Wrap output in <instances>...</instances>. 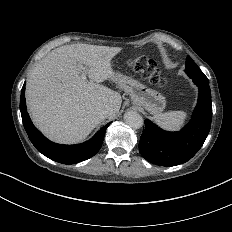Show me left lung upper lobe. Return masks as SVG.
<instances>
[{
	"label": "left lung upper lobe",
	"instance_id": "1",
	"mask_svg": "<svg viewBox=\"0 0 232 232\" xmlns=\"http://www.w3.org/2000/svg\"><path fill=\"white\" fill-rule=\"evenodd\" d=\"M185 71L187 75L192 78L193 82L196 85H205L209 86L208 78L205 74L200 70V68L195 64L190 56L186 58V67Z\"/></svg>",
	"mask_w": 232,
	"mask_h": 232
}]
</instances>
